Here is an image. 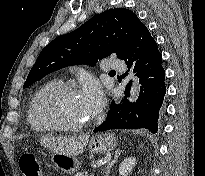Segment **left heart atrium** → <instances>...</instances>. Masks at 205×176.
Instances as JSON below:
<instances>
[{
	"mask_svg": "<svg viewBox=\"0 0 205 176\" xmlns=\"http://www.w3.org/2000/svg\"><path fill=\"white\" fill-rule=\"evenodd\" d=\"M80 97L90 114L98 113L103 107L104 97L96 83H85L82 86Z\"/></svg>",
	"mask_w": 205,
	"mask_h": 176,
	"instance_id": "1",
	"label": "left heart atrium"
}]
</instances>
